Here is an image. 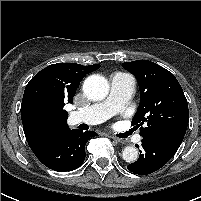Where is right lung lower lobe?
Returning <instances> with one entry per match:
<instances>
[{
  "label": "right lung lower lobe",
  "mask_w": 201,
  "mask_h": 201,
  "mask_svg": "<svg viewBox=\"0 0 201 201\" xmlns=\"http://www.w3.org/2000/svg\"><path fill=\"white\" fill-rule=\"evenodd\" d=\"M93 136H96L93 132L73 129L33 152L41 163L52 170H73L84 162L85 145Z\"/></svg>",
  "instance_id": "right-lung-lower-lobe-1"
}]
</instances>
